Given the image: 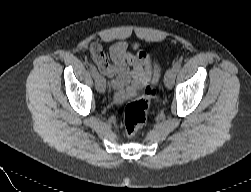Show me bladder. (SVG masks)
Returning a JSON list of instances; mask_svg holds the SVG:
<instances>
[{"label":"bladder","instance_id":"1","mask_svg":"<svg viewBox=\"0 0 251 192\" xmlns=\"http://www.w3.org/2000/svg\"><path fill=\"white\" fill-rule=\"evenodd\" d=\"M160 76H161V68L157 63H155L153 66V70H152L151 83L156 84L158 82ZM113 98H114L115 103H122L123 102V97L118 92L114 93Z\"/></svg>","mask_w":251,"mask_h":192}]
</instances>
